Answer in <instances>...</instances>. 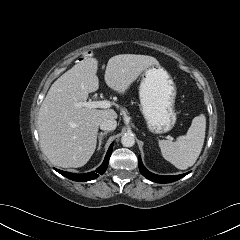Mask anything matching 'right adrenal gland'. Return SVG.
Segmentation results:
<instances>
[{
	"label": "right adrenal gland",
	"mask_w": 240,
	"mask_h": 240,
	"mask_svg": "<svg viewBox=\"0 0 240 240\" xmlns=\"http://www.w3.org/2000/svg\"><path fill=\"white\" fill-rule=\"evenodd\" d=\"M108 132H101L100 134H99V144H98V150H100V148H101V144H102V139H103V137L107 134Z\"/></svg>",
	"instance_id": "right-adrenal-gland-1"
}]
</instances>
